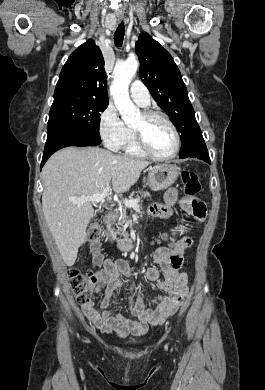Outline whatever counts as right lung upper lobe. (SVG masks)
<instances>
[{
  "label": "right lung upper lobe",
  "mask_w": 265,
  "mask_h": 390,
  "mask_svg": "<svg viewBox=\"0 0 265 390\" xmlns=\"http://www.w3.org/2000/svg\"><path fill=\"white\" fill-rule=\"evenodd\" d=\"M104 58L93 40L80 45L63 66L54 100L85 98L108 102Z\"/></svg>",
  "instance_id": "right-lung-upper-lobe-1"
}]
</instances>
